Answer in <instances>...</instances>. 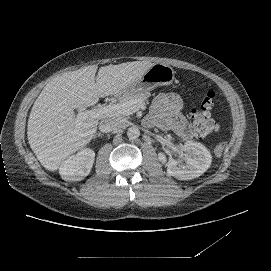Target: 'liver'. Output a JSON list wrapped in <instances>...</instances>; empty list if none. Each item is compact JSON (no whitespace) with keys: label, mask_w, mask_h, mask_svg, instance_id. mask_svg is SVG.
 <instances>
[{"label":"liver","mask_w":271,"mask_h":271,"mask_svg":"<svg viewBox=\"0 0 271 271\" xmlns=\"http://www.w3.org/2000/svg\"><path fill=\"white\" fill-rule=\"evenodd\" d=\"M152 66L150 61L103 66L95 78L98 67L91 65L47 83L34 102L27 125L28 143L41 165L56 171L92 140L99 120L82 119L75 115V109L93 106L100 97L123 93Z\"/></svg>","instance_id":"obj_1"}]
</instances>
